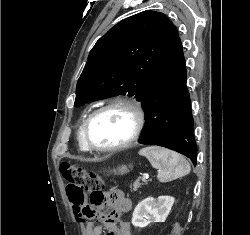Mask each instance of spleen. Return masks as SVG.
I'll use <instances>...</instances> for the list:
<instances>
[{
    "mask_svg": "<svg viewBox=\"0 0 250 235\" xmlns=\"http://www.w3.org/2000/svg\"><path fill=\"white\" fill-rule=\"evenodd\" d=\"M139 154L145 156L154 168L158 169L160 182H168L189 174L191 167L187 160L166 148L150 146L143 148Z\"/></svg>",
    "mask_w": 250,
    "mask_h": 235,
    "instance_id": "1",
    "label": "spleen"
}]
</instances>
